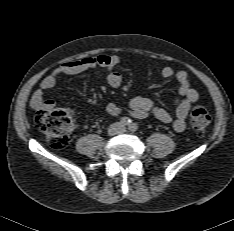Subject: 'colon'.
I'll return each instance as SVG.
<instances>
[{
    "mask_svg": "<svg viewBox=\"0 0 234 231\" xmlns=\"http://www.w3.org/2000/svg\"><path fill=\"white\" fill-rule=\"evenodd\" d=\"M192 128L203 131L211 122L206 108L195 107L190 114ZM36 126L45 133L49 144L56 149L65 148L69 142V133L73 124V113L67 108L41 110L35 118Z\"/></svg>",
    "mask_w": 234,
    "mask_h": 231,
    "instance_id": "obj_1",
    "label": "colon"
}]
</instances>
